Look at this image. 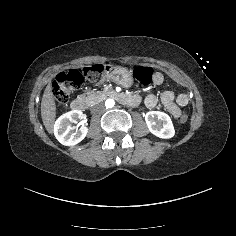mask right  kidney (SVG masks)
<instances>
[{"mask_svg":"<svg viewBox=\"0 0 236 236\" xmlns=\"http://www.w3.org/2000/svg\"><path fill=\"white\" fill-rule=\"evenodd\" d=\"M83 118L80 110H72L61 115L55 122L54 135L65 146H73L81 142L88 133V128L81 126L79 130L72 131L71 123H76Z\"/></svg>","mask_w":236,"mask_h":236,"instance_id":"1","label":"right kidney"}]
</instances>
